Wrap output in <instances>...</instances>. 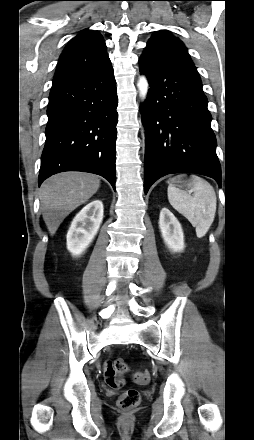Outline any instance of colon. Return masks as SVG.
Masks as SVG:
<instances>
[{
  "label": "colon",
  "instance_id": "1",
  "mask_svg": "<svg viewBox=\"0 0 254 440\" xmlns=\"http://www.w3.org/2000/svg\"><path fill=\"white\" fill-rule=\"evenodd\" d=\"M129 370L128 363L122 359L118 358L114 360L113 362V372L117 373L118 375H123L127 373ZM150 380L148 373H137L134 376V381L139 384H146ZM124 384V381L122 379H119L115 382V387H120ZM140 402V396L139 393L134 389H129L125 393H123L119 400L118 405L123 410H131L138 406Z\"/></svg>",
  "mask_w": 254,
  "mask_h": 440
}]
</instances>
